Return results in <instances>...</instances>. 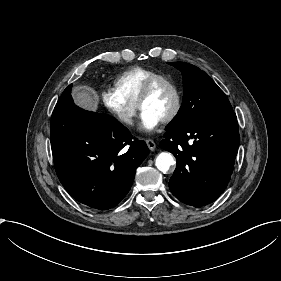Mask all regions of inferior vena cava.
I'll list each match as a JSON object with an SVG mask.
<instances>
[{
    "mask_svg": "<svg viewBox=\"0 0 281 281\" xmlns=\"http://www.w3.org/2000/svg\"><path fill=\"white\" fill-rule=\"evenodd\" d=\"M123 122L127 123V124H131L132 120L128 117L122 116V118H120Z\"/></svg>",
    "mask_w": 281,
    "mask_h": 281,
    "instance_id": "1",
    "label": "inferior vena cava"
}]
</instances>
